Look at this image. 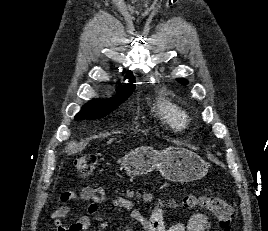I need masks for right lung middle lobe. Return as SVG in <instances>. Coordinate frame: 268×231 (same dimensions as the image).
Wrapping results in <instances>:
<instances>
[{"mask_svg": "<svg viewBox=\"0 0 268 231\" xmlns=\"http://www.w3.org/2000/svg\"><path fill=\"white\" fill-rule=\"evenodd\" d=\"M121 104V103H120ZM120 104L109 105L104 103H88L83 109L75 116V120L83 119H98L108 115L111 111L115 110Z\"/></svg>", "mask_w": 268, "mask_h": 231, "instance_id": "dd1d6c3e", "label": "right lung middle lobe"}]
</instances>
